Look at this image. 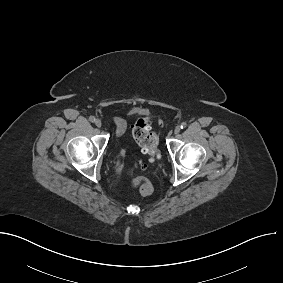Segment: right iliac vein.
I'll return each instance as SVG.
<instances>
[{"label": "right iliac vein", "instance_id": "63e3f726", "mask_svg": "<svg viewBox=\"0 0 283 283\" xmlns=\"http://www.w3.org/2000/svg\"><path fill=\"white\" fill-rule=\"evenodd\" d=\"M95 124H96V126L99 127V128L102 126V122H101V120H99V119H97V120L95 121Z\"/></svg>", "mask_w": 283, "mask_h": 283}]
</instances>
